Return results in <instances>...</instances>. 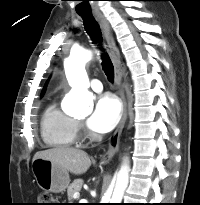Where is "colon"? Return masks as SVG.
Wrapping results in <instances>:
<instances>
[{
	"instance_id": "colon-1",
	"label": "colon",
	"mask_w": 200,
	"mask_h": 205,
	"mask_svg": "<svg viewBox=\"0 0 200 205\" xmlns=\"http://www.w3.org/2000/svg\"><path fill=\"white\" fill-rule=\"evenodd\" d=\"M37 205H53V198L49 193H41L38 196Z\"/></svg>"
}]
</instances>
